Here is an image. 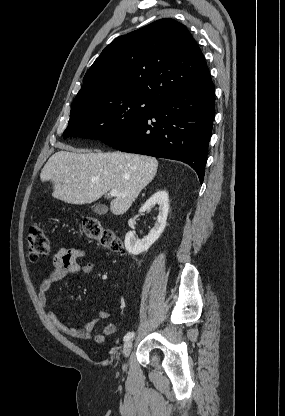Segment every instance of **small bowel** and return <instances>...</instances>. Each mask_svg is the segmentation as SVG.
<instances>
[{
    "label": "small bowel",
    "mask_w": 285,
    "mask_h": 416,
    "mask_svg": "<svg viewBox=\"0 0 285 416\" xmlns=\"http://www.w3.org/2000/svg\"><path fill=\"white\" fill-rule=\"evenodd\" d=\"M84 256V252L78 248H61L55 254L51 266L39 284L37 297L46 317L58 331L71 338L82 341L93 339L96 343L102 344L116 330L115 322L109 321L99 331L94 332L96 323L109 320L110 314L107 311L99 310L92 320L81 326L73 327L63 323L48 304L47 293L52 283L60 281L67 276L77 274L89 275L93 272V262L85 261Z\"/></svg>",
    "instance_id": "obj_1"
}]
</instances>
